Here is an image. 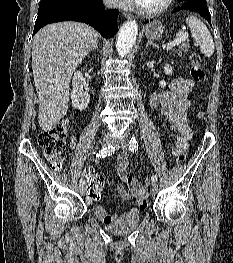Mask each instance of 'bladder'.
<instances>
[{"instance_id":"1","label":"bladder","mask_w":233,"mask_h":263,"mask_svg":"<svg viewBox=\"0 0 233 263\" xmlns=\"http://www.w3.org/2000/svg\"><path fill=\"white\" fill-rule=\"evenodd\" d=\"M139 222V213L126 212L119 216L116 220L106 223L104 228L107 232L113 235H123L136 228Z\"/></svg>"}]
</instances>
